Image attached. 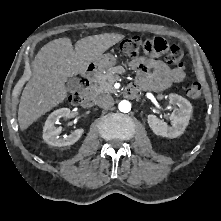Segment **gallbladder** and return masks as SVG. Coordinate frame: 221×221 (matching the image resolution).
Masks as SVG:
<instances>
[{
  "mask_svg": "<svg viewBox=\"0 0 221 221\" xmlns=\"http://www.w3.org/2000/svg\"><path fill=\"white\" fill-rule=\"evenodd\" d=\"M78 87V79L76 77H69L66 82L67 90H72Z\"/></svg>",
  "mask_w": 221,
  "mask_h": 221,
  "instance_id": "gallbladder-1",
  "label": "gallbladder"
}]
</instances>
